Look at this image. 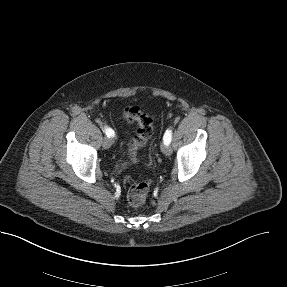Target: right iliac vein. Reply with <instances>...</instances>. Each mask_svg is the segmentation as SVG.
I'll use <instances>...</instances> for the list:
<instances>
[{
	"mask_svg": "<svg viewBox=\"0 0 287 287\" xmlns=\"http://www.w3.org/2000/svg\"><path fill=\"white\" fill-rule=\"evenodd\" d=\"M112 139L111 138H109V137H104V139H103V142H102V144H103V147L104 148H110L111 147V145H112Z\"/></svg>",
	"mask_w": 287,
	"mask_h": 287,
	"instance_id": "obj_1",
	"label": "right iliac vein"
}]
</instances>
